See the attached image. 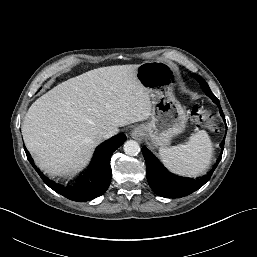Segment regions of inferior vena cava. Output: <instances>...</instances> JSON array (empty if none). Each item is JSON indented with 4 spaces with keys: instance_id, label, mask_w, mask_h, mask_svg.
I'll use <instances>...</instances> for the list:
<instances>
[{
    "instance_id": "602c4592",
    "label": "inferior vena cava",
    "mask_w": 257,
    "mask_h": 257,
    "mask_svg": "<svg viewBox=\"0 0 257 257\" xmlns=\"http://www.w3.org/2000/svg\"><path fill=\"white\" fill-rule=\"evenodd\" d=\"M118 133V129L116 128H110L106 131L101 132L100 136L102 139H108Z\"/></svg>"
}]
</instances>
